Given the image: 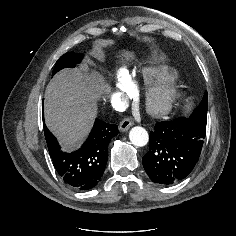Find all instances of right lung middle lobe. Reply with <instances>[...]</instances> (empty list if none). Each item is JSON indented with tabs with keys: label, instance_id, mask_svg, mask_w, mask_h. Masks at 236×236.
<instances>
[{
	"label": "right lung middle lobe",
	"instance_id": "right-lung-middle-lobe-1",
	"mask_svg": "<svg viewBox=\"0 0 236 236\" xmlns=\"http://www.w3.org/2000/svg\"><path fill=\"white\" fill-rule=\"evenodd\" d=\"M82 58L83 55L81 53L77 54L73 52L65 53L57 60L53 70V75L63 68L74 67L76 64L81 62Z\"/></svg>",
	"mask_w": 236,
	"mask_h": 236
}]
</instances>
